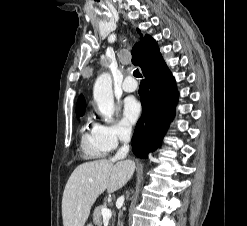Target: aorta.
<instances>
[{
    "label": "aorta",
    "instance_id": "obj_1",
    "mask_svg": "<svg viewBox=\"0 0 247 226\" xmlns=\"http://www.w3.org/2000/svg\"><path fill=\"white\" fill-rule=\"evenodd\" d=\"M93 97L105 121L109 122L114 114L112 77L109 73L105 72L98 76L93 88Z\"/></svg>",
    "mask_w": 247,
    "mask_h": 226
}]
</instances>
